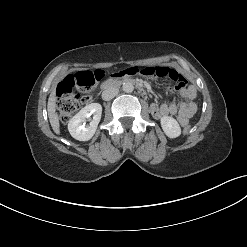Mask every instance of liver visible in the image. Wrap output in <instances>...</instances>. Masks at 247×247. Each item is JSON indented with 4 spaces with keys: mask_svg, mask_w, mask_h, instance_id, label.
I'll use <instances>...</instances> for the list:
<instances>
[{
    "mask_svg": "<svg viewBox=\"0 0 247 247\" xmlns=\"http://www.w3.org/2000/svg\"><path fill=\"white\" fill-rule=\"evenodd\" d=\"M47 111H48V117H49V121H50L53 131L56 134H60V124H59L58 115L56 113V96H55L54 88L48 99Z\"/></svg>",
    "mask_w": 247,
    "mask_h": 247,
    "instance_id": "liver-1",
    "label": "liver"
}]
</instances>
